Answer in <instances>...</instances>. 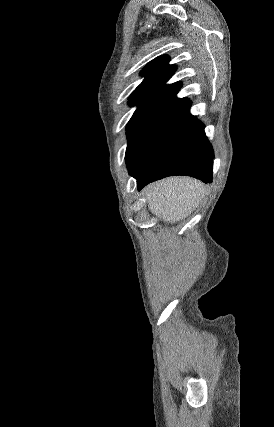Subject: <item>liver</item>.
Instances as JSON below:
<instances>
[{"label":"liver","instance_id":"6515ba94","mask_svg":"<svg viewBox=\"0 0 274 427\" xmlns=\"http://www.w3.org/2000/svg\"><path fill=\"white\" fill-rule=\"evenodd\" d=\"M205 186L194 178H166L144 188L149 210L164 221H180L201 202Z\"/></svg>","mask_w":274,"mask_h":427}]
</instances>
